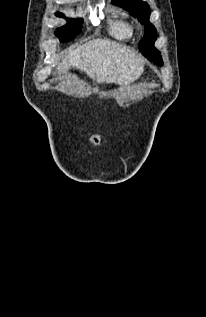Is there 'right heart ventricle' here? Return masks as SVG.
I'll return each mask as SVG.
<instances>
[{"mask_svg": "<svg viewBox=\"0 0 206 317\" xmlns=\"http://www.w3.org/2000/svg\"><path fill=\"white\" fill-rule=\"evenodd\" d=\"M109 34L117 40H128L133 34V28L127 17L117 9L108 10Z\"/></svg>", "mask_w": 206, "mask_h": 317, "instance_id": "right-heart-ventricle-1", "label": "right heart ventricle"}]
</instances>
